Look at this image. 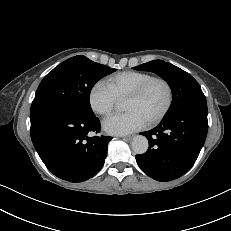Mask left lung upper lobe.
I'll use <instances>...</instances> for the list:
<instances>
[{
    "instance_id": "left-lung-upper-lobe-1",
    "label": "left lung upper lobe",
    "mask_w": 231,
    "mask_h": 231,
    "mask_svg": "<svg viewBox=\"0 0 231 231\" xmlns=\"http://www.w3.org/2000/svg\"><path fill=\"white\" fill-rule=\"evenodd\" d=\"M134 69L154 72L167 81L173 97L169 113L188 99L204 96L200 85L190 74L165 61H150L136 66Z\"/></svg>"
}]
</instances>
